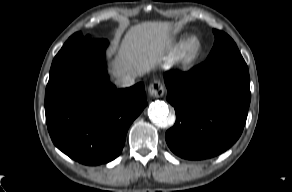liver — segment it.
Returning a JSON list of instances; mask_svg holds the SVG:
<instances>
[{
    "mask_svg": "<svg viewBox=\"0 0 292 192\" xmlns=\"http://www.w3.org/2000/svg\"><path fill=\"white\" fill-rule=\"evenodd\" d=\"M172 24L160 21L142 22L130 27L112 62V73L120 78L140 76L155 67L170 45Z\"/></svg>",
    "mask_w": 292,
    "mask_h": 192,
    "instance_id": "1",
    "label": "liver"
}]
</instances>
